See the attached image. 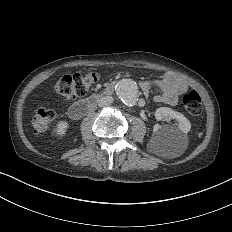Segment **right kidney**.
Masks as SVG:
<instances>
[{
    "instance_id": "1",
    "label": "right kidney",
    "mask_w": 232,
    "mask_h": 232,
    "mask_svg": "<svg viewBox=\"0 0 232 232\" xmlns=\"http://www.w3.org/2000/svg\"><path fill=\"white\" fill-rule=\"evenodd\" d=\"M67 128H68V123L65 121H60L57 125L55 132L57 135L62 136L66 133Z\"/></svg>"
}]
</instances>
